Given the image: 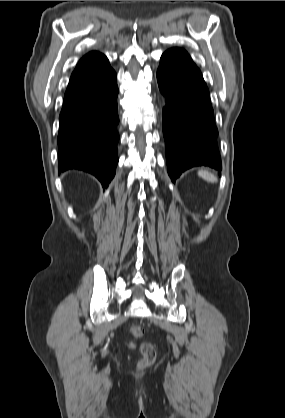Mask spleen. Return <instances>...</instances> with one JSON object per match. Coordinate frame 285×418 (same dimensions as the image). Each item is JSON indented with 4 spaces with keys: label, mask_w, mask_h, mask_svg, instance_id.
I'll return each mask as SVG.
<instances>
[{
    "label": "spleen",
    "mask_w": 285,
    "mask_h": 418,
    "mask_svg": "<svg viewBox=\"0 0 285 418\" xmlns=\"http://www.w3.org/2000/svg\"><path fill=\"white\" fill-rule=\"evenodd\" d=\"M198 176L201 177L202 179H204L205 181L210 182V183L217 182L216 176H214L213 174H211L210 172L205 171V170H199L198 171Z\"/></svg>",
    "instance_id": "spleen-1"
}]
</instances>
